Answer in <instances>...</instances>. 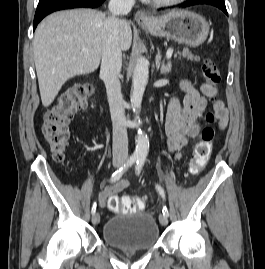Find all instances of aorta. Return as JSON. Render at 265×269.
Returning <instances> with one entry per match:
<instances>
[{"label":"aorta","mask_w":265,"mask_h":269,"mask_svg":"<svg viewBox=\"0 0 265 269\" xmlns=\"http://www.w3.org/2000/svg\"><path fill=\"white\" fill-rule=\"evenodd\" d=\"M149 77V63L147 59L140 56L137 60L133 80H132V92L130 96L131 106L134 112H137L141 108L142 98L145 91V87ZM149 150V140L147 135L139 134L136 139L135 156L137 158L145 159Z\"/></svg>","instance_id":"762f6f07"}]
</instances>
